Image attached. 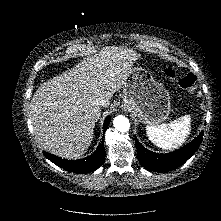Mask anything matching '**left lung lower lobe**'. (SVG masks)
<instances>
[{"instance_id":"left-lung-lower-lobe-1","label":"left lung lower lobe","mask_w":221,"mask_h":221,"mask_svg":"<svg viewBox=\"0 0 221 221\" xmlns=\"http://www.w3.org/2000/svg\"><path fill=\"white\" fill-rule=\"evenodd\" d=\"M203 132L186 146L168 154H158L145 149L135 137L137 156L140 164L154 172L169 171L185 163L198 149Z\"/></svg>"}]
</instances>
